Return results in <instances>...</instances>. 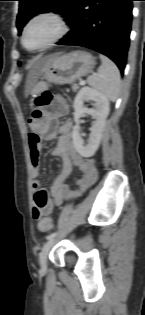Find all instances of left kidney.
I'll return each mask as SVG.
<instances>
[{
  "label": "left kidney",
  "mask_w": 145,
  "mask_h": 315,
  "mask_svg": "<svg viewBox=\"0 0 145 315\" xmlns=\"http://www.w3.org/2000/svg\"><path fill=\"white\" fill-rule=\"evenodd\" d=\"M87 100L95 102L93 109L84 107L83 104ZM73 108L75 126L72 130V139L74 147L81 156L91 157L97 151L102 138L106 118L109 114V100L99 91L90 87H83L74 99ZM85 113L90 114L95 119L87 144L84 143L79 132V119Z\"/></svg>",
  "instance_id": "left-kidney-1"
}]
</instances>
